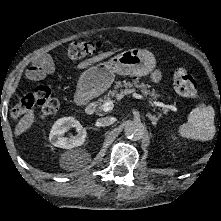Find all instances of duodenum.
Wrapping results in <instances>:
<instances>
[{
    "mask_svg": "<svg viewBox=\"0 0 221 221\" xmlns=\"http://www.w3.org/2000/svg\"><path fill=\"white\" fill-rule=\"evenodd\" d=\"M77 102L84 105V111L87 115H92L96 110V103L93 101H88L86 96L78 95Z\"/></svg>",
    "mask_w": 221,
    "mask_h": 221,
    "instance_id": "1",
    "label": "duodenum"
}]
</instances>
